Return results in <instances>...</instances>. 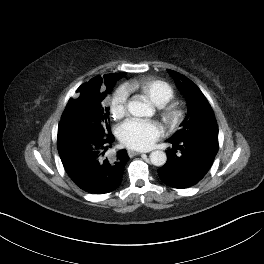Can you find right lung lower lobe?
I'll list each match as a JSON object with an SVG mask.
<instances>
[{"instance_id": "right-lung-lower-lobe-1", "label": "right lung lower lobe", "mask_w": 264, "mask_h": 264, "mask_svg": "<svg viewBox=\"0 0 264 264\" xmlns=\"http://www.w3.org/2000/svg\"><path fill=\"white\" fill-rule=\"evenodd\" d=\"M113 141L111 133L99 135L95 132L57 139L63 166L79 188L92 194H104L120 185L129 158L125 150L109 158L105 156Z\"/></svg>"}]
</instances>
